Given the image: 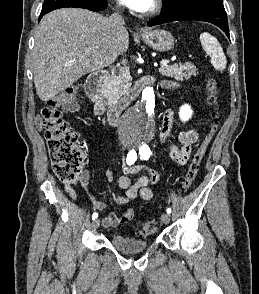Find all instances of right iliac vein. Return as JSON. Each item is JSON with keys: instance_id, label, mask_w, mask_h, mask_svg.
<instances>
[{"instance_id": "1", "label": "right iliac vein", "mask_w": 259, "mask_h": 294, "mask_svg": "<svg viewBox=\"0 0 259 294\" xmlns=\"http://www.w3.org/2000/svg\"><path fill=\"white\" fill-rule=\"evenodd\" d=\"M92 229L93 230H96L98 229V227L100 226V220L99 219H95L93 222H92Z\"/></svg>"}]
</instances>
